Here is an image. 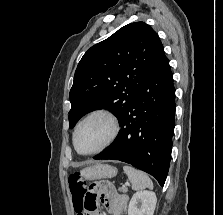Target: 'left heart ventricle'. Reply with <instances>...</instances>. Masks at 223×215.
Wrapping results in <instances>:
<instances>
[{
	"label": "left heart ventricle",
	"instance_id": "b2bd125f",
	"mask_svg": "<svg viewBox=\"0 0 223 215\" xmlns=\"http://www.w3.org/2000/svg\"><path fill=\"white\" fill-rule=\"evenodd\" d=\"M110 126L106 120L95 118L79 128L76 135V146L81 152H90L100 147L108 138Z\"/></svg>",
	"mask_w": 223,
	"mask_h": 215
}]
</instances>
